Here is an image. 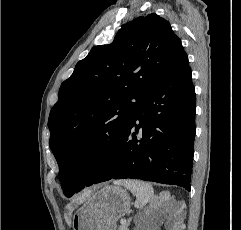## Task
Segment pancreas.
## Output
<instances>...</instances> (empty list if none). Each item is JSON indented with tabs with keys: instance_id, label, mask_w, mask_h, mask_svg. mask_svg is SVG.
Returning <instances> with one entry per match:
<instances>
[{
	"instance_id": "obj_1",
	"label": "pancreas",
	"mask_w": 241,
	"mask_h": 230,
	"mask_svg": "<svg viewBox=\"0 0 241 230\" xmlns=\"http://www.w3.org/2000/svg\"><path fill=\"white\" fill-rule=\"evenodd\" d=\"M118 230H128V224L121 225Z\"/></svg>"
}]
</instances>
